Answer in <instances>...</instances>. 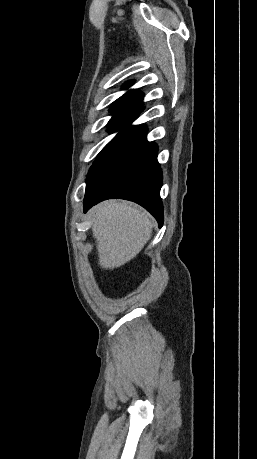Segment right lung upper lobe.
<instances>
[{
    "label": "right lung upper lobe",
    "instance_id": "right-lung-upper-lobe-1",
    "mask_svg": "<svg viewBox=\"0 0 257 459\" xmlns=\"http://www.w3.org/2000/svg\"><path fill=\"white\" fill-rule=\"evenodd\" d=\"M132 81L127 82L124 84V88H128L132 85ZM143 100V93L139 92H134V91H129L123 96H121L119 99H117L112 105H111V112H129L132 114H138L143 111V108H141Z\"/></svg>",
    "mask_w": 257,
    "mask_h": 459
}]
</instances>
